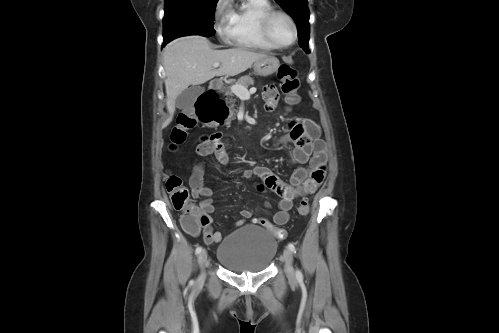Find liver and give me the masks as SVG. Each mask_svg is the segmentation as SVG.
I'll return each mask as SVG.
<instances>
[{
    "mask_svg": "<svg viewBox=\"0 0 499 333\" xmlns=\"http://www.w3.org/2000/svg\"><path fill=\"white\" fill-rule=\"evenodd\" d=\"M166 108L168 117L162 124L167 127L175 113L176 98L190 85H201L216 76H235L251 67L265 53L243 47L213 50L207 38L194 35L177 38L164 49ZM214 63H220L215 69Z\"/></svg>",
    "mask_w": 499,
    "mask_h": 333,
    "instance_id": "1",
    "label": "liver"
}]
</instances>
